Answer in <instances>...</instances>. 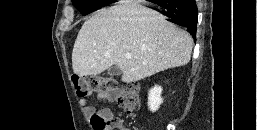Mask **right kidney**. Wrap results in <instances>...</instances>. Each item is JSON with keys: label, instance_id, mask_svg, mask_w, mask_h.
I'll return each mask as SVG.
<instances>
[{"label": "right kidney", "instance_id": "right-kidney-1", "mask_svg": "<svg viewBox=\"0 0 257 130\" xmlns=\"http://www.w3.org/2000/svg\"><path fill=\"white\" fill-rule=\"evenodd\" d=\"M162 87L155 85L153 88L149 90L148 93V107L150 111L155 112L159 109L160 105L163 103Z\"/></svg>", "mask_w": 257, "mask_h": 130}]
</instances>
